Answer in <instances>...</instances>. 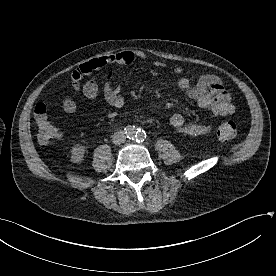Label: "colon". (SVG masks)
Masks as SVG:
<instances>
[{
  "instance_id": "obj_1",
  "label": "colon",
  "mask_w": 276,
  "mask_h": 276,
  "mask_svg": "<svg viewBox=\"0 0 276 276\" xmlns=\"http://www.w3.org/2000/svg\"><path fill=\"white\" fill-rule=\"evenodd\" d=\"M62 107L66 112L75 110V105L70 100H65ZM35 122L38 129V139L42 144L52 143L61 139V132L49 119L46 105L43 103H39L35 107ZM237 136V127L231 121L222 123L217 129V137L221 141L230 142L235 140Z\"/></svg>"
}]
</instances>
